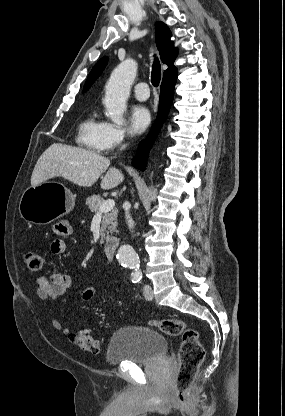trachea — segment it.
Listing matches in <instances>:
<instances>
[{"instance_id":"trachea-1","label":"trachea","mask_w":285,"mask_h":416,"mask_svg":"<svg viewBox=\"0 0 285 416\" xmlns=\"http://www.w3.org/2000/svg\"><path fill=\"white\" fill-rule=\"evenodd\" d=\"M161 80V65L158 59H156L152 66L151 82L154 87H157Z\"/></svg>"}]
</instances>
